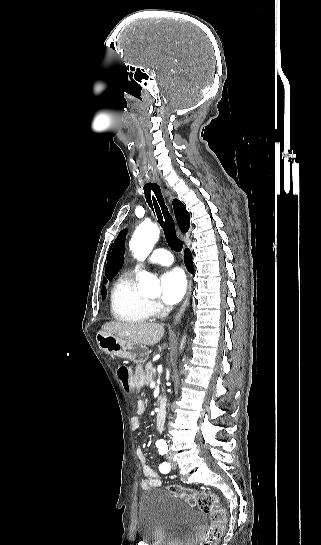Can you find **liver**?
Listing matches in <instances>:
<instances>
[{"label":"liver","mask_w":321,"mask_h":545,"mask_svg":"<svg viewBox=\"0 0 321 545\" xmlns=\"http://www.w3.org/2000/svg\"><path fill=\"white\" fill-rule=\"evenodd\" d=\"M101 333L115 335L118 339L137 343V345H156L161 341L165 329L158 323H124V321H112L102 325Z\"/></svg>","instance_id":"liver-1"}]
</instances>
